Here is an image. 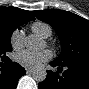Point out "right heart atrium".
Wrapping results in <instances>:
<instances>
[{"mask_svg":"<svg viewBox=\"0 0 89 89\" xmlns=\"http://www.w3.org/2000/svg\"><path fill=\"white\" fill-rule=\"evenodd\" d=\"M24 32L22 30H16L11 35V45L14 49H20L23 45Z\"/></svg>","mask_w":89,"mask_h":89,"instance_id":"right-heart-atrium-1","label":"right heart atrium"}]
</instances>
